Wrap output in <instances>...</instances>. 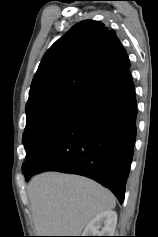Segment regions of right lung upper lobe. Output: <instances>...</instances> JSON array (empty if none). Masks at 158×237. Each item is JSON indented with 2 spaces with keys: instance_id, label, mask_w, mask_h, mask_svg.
Returning a JSON list of instances; mask_svg holds the SVG:
<instances>
[{
  "instance_id": "obj_1",
  "label": "right lung upper lobe",
  "mask_w": 158,
  "mask_h": 237,
  "mask_svg": "<svg viewBox=\"0 0 158 237\" xmlns=\"http://www.w3.org/2000/svg\"><path fill=\"white\" fill-rule=\"evenodd\" d=\"M129 68L115 31L99 21L79 22L44 54L26 108L55 97L85 101Z\"/></svg>"
}]
</instances>
